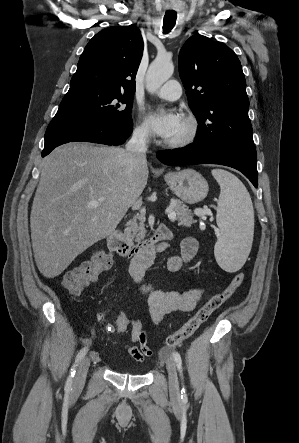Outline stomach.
Returning <instances> with one entry per match:
<instances>
[{
    "label": "stomach",
    "mask_w": 299,
    "mask_h": 443,
    "mask_svg": "<svg viewBox=\"0 0 299 443\" xmlns=\"http://www.w3.org/2000/svg\"><path fill=\"white\" fill-rule=\"evenodd\" d=\"M169 188L182 201L195 204L208 194V183L197 171L187 168L178 172H169L164 176Z\"/></svg>",
    "instance_id": "obj_1"
}]
</instances>
